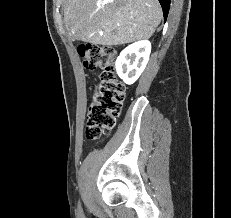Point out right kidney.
Returning a JSON list of instances; mask_svg holds the SVG:
<instances>
[{
    "label": "right kidney",
    "mask_w": 231,
    "mask_h": 218,
    "mask_svg": "<svg viewBox=\"0 0 231 218\" xmlns=\"http://www.w3.org/2000/svg\"><path fill=\"white\" fill-rule=\"evenodd\" d=\"M151 52V43L147 40L126 47L116 60L118 76L126 83L133 84L144 71Z\"/></svg>",
    "instance_id": "obj_1"
}]
</instances>
